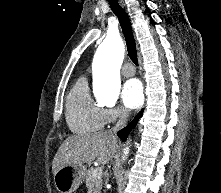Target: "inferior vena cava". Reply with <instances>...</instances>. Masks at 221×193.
Returning a JSON list of instances; mask_svg holds the SVG:
<instances>
[{
	"mask_svg": "<svg viewBox=\"0 0 221 193\" xmlns=\"http://www.w3.org/2000/svg\"><path fill=\"white\" fill-rule=\"evenodd\" d=\"M129 110L121 109L119 111V120L116 125L109 131L112 134H116L120 129L124 128L128 122Z\"/></svg>",
	"mask_w": 221,
	"mask_h": 193,
	"instance_id": "1",
	"label": "inferior vena cava"
}]
</instances>
